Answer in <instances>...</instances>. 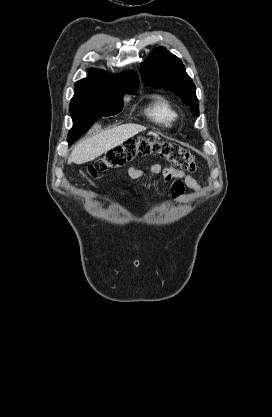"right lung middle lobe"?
<instances>
[{
    "label": "right lung middle lobe",
    "mask_w": 272,
    "mask_h": 417,
    "mask_svg": "<svg viewBox=\"0 0 272 417\" xmlns=\"http://www.w3.org/2000/svg\"><path fill=\"white\" fill-rule=\"evenodd\" d=\"M137 89L117 94H94L82 101L71 102L69 109L73 127L68 133V143L77 140L98 118L118 114L123 108V95H134Z\"/></svg>",
    "instance_id": "1"
}]
</instances>
